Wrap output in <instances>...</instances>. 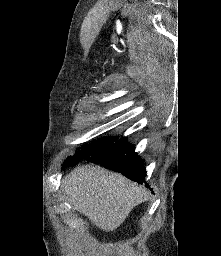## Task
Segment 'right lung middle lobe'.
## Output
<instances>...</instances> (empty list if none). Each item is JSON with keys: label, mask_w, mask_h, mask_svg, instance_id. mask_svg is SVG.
Listing matches in <instances>:
<instances>
[{"label": "right lung middle lobe", "mask_w": 221, "mask_h": 256, "mask_svg": "<svg viewBox=\"0 0 221 256\" xmlns=\"http://www.w3.org/2000/svg\"><path fill=\"white\" fill-rule=\"evenodd\" d=\"M118 140V137H109V138H103L100 140H97L89 145H85L82 147V150L76 151L75 156H70L64 163V167L69 166H74L76 165L80 160L85 159L94 153L98 152L108 144H111Z\"/></svg>", "instance_id": "dd1d6c3e"}]
</instances>
